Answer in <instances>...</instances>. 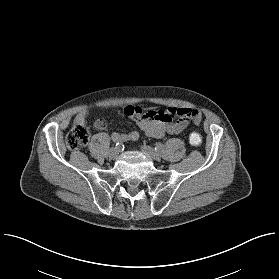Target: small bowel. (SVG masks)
<instances>
[{
    "instance_id": "small-bowel-1",
    "label": "small bowel",
    "mask_w": 279,
    "mask_h": 279,
    "mask_svg": "<svg viewBox=\"0 0 279 279\" xmlns=\"http://www.w3.org/2000/svg\"><path fill=\"white\" fill-rule=\"evenodd\" d=\"M123 113L136 121L138 127L150 136L160 138L166 134H178L182 132L190 122L199 124L201 116L197 110L177 108L169 106L165 110H145L139 106H126ZM89 114L88 109L81 110L73 119V124H86ZM106 121L98 119L94 126L98 130L106 128ZM139 138L136 130L130 132H115L112 139L119 142L135 141Z\"/></svg>"
}]
</instances>
